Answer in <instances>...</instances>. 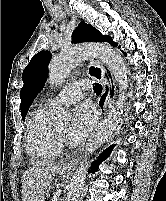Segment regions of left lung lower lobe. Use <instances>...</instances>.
<instances>
[{"label":"left lung lower lobe","instance_id":"1","mask_svg":"<svg viewBox=\"0 0 166 201\" xmlns=\"http://www.w3.org/2000/svg\"><path fill=\"white\" fill-rule=\"evenodd\" d=\"M126 55V53H125ZM100 78V77H98ZM114 145H111L110 147H108L99 157L98 160H96L93 164H92V170H90V172L95 173V171L98 169L99 164L102 163V161H104L106 158L109 157L112 149H113Z\"/></svg>","mask_w":166,"mask_h":201}]
</instances>
